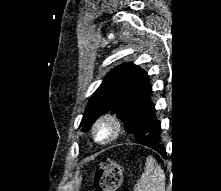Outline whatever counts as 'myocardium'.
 <instances>
[{
	"mask_svg": "<svg viewBox=\"0 0 221 191\" xmlns=\"http://www.w3.org/2000/svg\"><path fill=\"white\" fill-rule=\"evenodd\" d=\"M121 120L112 114H105L99 117L92 127V137L98 144H109L117 140L122 133ZM101 130H107V135L104 138L99 137Z\"/></svg>",
	"mask_w": 221,
	"mask_h": 191,
	"instance_id": "myocardium-1",
	"label": "myocardium"
}]
</instances>
